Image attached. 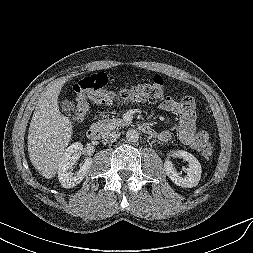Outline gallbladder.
I'll return each mask as SVG.
<instances>
[{
  "label": "gallbladder",
  "mask_w": 253,
  "mask_h": 253,
  "mask_svg": "<svg viewBox=\"0 0 253 253\" xmlns=\"http://www.w3.org/2000/svg\"><path fill=\"white\" fill-rule=\"evenodd\" d=\"M60 105L62 111L67 114H70L75 109V104L69 99H63Z\"/></svg>",
  "instance_id": "gallbladder-1"
}]
</instances>
